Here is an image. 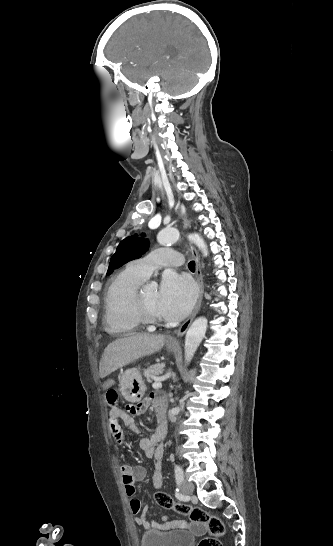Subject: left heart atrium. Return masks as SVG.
<instances>
[{
	"label": "left heart atrium",
	"mask_w": 333,
	"mask_h": 546,
	"mask_svg": "<svg viewBox=\"0 0 333 546\" xmlns=\"http://www.w3.org/2000/svg\"><path fill=\"white\" fill-rule=\"evenodd\" d=\"M195 297V288L186 277L167 271L158 291L159 314L169 320H180L192 309Z\"/></svg>",
	"instance_id": "39dd6f15"
}]
</instances>
